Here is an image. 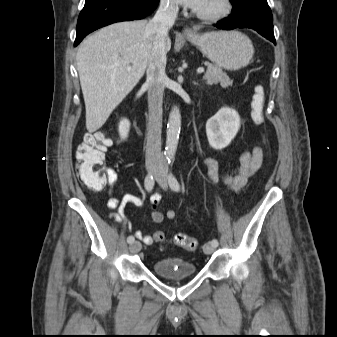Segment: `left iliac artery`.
Segmentation results:
<instances>
[{
  "mask_svg": "<svg viewBox=\"0 0 337 337\" xmlns=\"http://www.w3.org/2000/svg\"><path fill=\"white\" fill-rule=\"evenodd\" d=\"M168 162L172 166V164L174 162V157L171 156L168 159ZM168 181H169V185H170V187H171L172 190L177 191V192L180 190V184L177 181L176 177L172 173L169 174ZM210 243L213 246H216V247L218 246V240L217 239H213Z\"/></svg>",
  "mask_w": 337,
  "mask_h": 337,
  "instance_id": "1",
  "label": "left iliac artery"
}]
</instances>
